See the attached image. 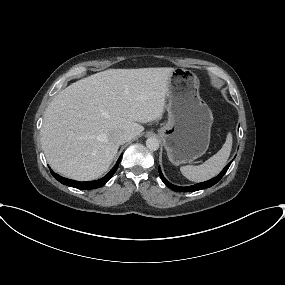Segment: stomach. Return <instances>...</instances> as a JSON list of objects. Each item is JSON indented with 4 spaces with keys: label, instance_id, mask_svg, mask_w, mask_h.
Masks as SVG:
<instances>
[{
    "label": "stomach",
    "instance_id": "obj_1",
    "mask_svg": "<svg viewBox=\"0 0 285 285\" xmlns=\"http://www.w3.org/2000/svg\"><path fill=\"white\" fill-rule=\"evenodd\" d=\"M200 81L189 70L176 68L168 83V121L158 134L174 165L190 163L209 147L213 114L199 95Z\"/></svg>",
    "mask_w": 285,
    "mask_h": 285
}]
</instances>
